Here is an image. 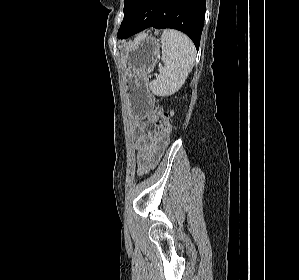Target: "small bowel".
<instances>
[{
  "instance_id": "1",
  "label": "small bowel",
  "mask_w": 299,
  "mask_h": 280,
  "mask_svg": "<svg viewBox=\"0 0 299 280\" xmlns=\"http://www.w3.org/2000/svg\"><path fill=\"white\" fill-rule=\"evenodd\" d=\"M134 132L138 172L144 174L161 156L168 144L169 135L149 127L146 123H136Z\"/></svg>"
}]
</instances>
